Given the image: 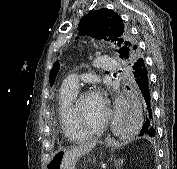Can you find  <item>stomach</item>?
<instances>
[{
    "instance_id": "stomach-1",
    "label": "stomach",
    "mask_w": 177,
    "mask_h": 169,
    "mask_svg": "<svg viewBox=\"0 0 177 169\" xmlns=\"http://www.w3.org/2000/svg\"><path fill=\"white\" fill-rule=\"evenodd\" d=\"M62 157H63V153L55 154L51 158V160L48 164V169H61L60 165H61Z\"/></svg>"
}]
</instances>
